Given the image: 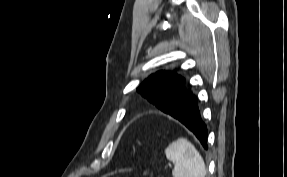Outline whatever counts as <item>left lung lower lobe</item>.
I'll use <instances>...</instances> for the list:
<instances>
[{
  "label": "left lung lower lobe",
  "mask_w": 287,
  "mask_h": 177,
  "mask_svg": "<svg viewBox=\"0 0 287 177\" xmlns=\"http://www.w3.org/2000/svg\"><path fill=\"white\" fill-rule=\"evenodd\" d=\"M169 115L183 123L207 149V128L200 117L197 99L190 90H184L173 97Z\"/></svg>",
  "instance_id": "0a47b994"
}]
</instances>
